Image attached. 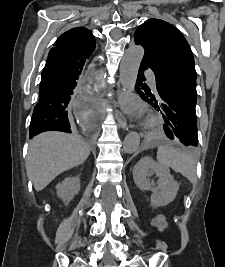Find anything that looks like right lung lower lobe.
<instances>
[{
  "instance_id": "98d812e1",
  "label": "right lung lower lobe",
  "mask_w": 225,
  "mask_h": 267,
  "mask_svg": "<svg viewBox=\"0 0 225 267\" xmlns=\"http://www.w3.org/2000/svg\"><path fill=\"white\" fill-rule=\"evenodd\" d=\"M94 49L55 46L50 50L41 73L39 100L29 128L30 138L51 130L71 133L68 104L76 93L75 88L80 85L87 59ZM95 82L93 77L87 85L88 94L94 92Z\"/></svg>"
}]
</instances>
